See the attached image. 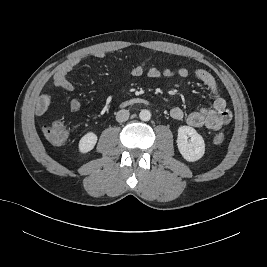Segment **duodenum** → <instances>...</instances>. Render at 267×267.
<instances>
[{"label":"duodenum","mask_w":267,"mask_h":267,"mask_svg":"<svg viewBox=\"0 0 267 267\" xmlns=\"http://www.w3.org/2000/svg\"><path fill=\"white\" fill-rule=\"evenodd\" d=\"M144 102H146V101L142 98H134V99L128 101V104L134 105V104H140V103H144Z\"/></svg>","instance_id":"1"}]
</instances>
